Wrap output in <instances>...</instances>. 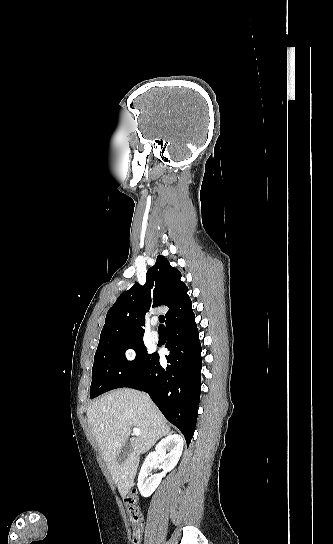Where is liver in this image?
Returning <instances> with one entry per match:
<instances>
[{
  "label": "liver",
  "instance_id": "obj_1",
  "mask_svg": "<svg viewBox=\"0 0 333 544\" xmlns=\"http://www.w3.org/2000/svg\"><path fill=\"white\" fill-rule=\"evenodd\" d=\"M88 422L114 482L122 496L133 486L140 461L160 438L170 433V428L160 410L143 393L121 388L113 390L90 404ZM141 431L132 438L131 455L123 462L116 457L131 434V428Z\"/></svg>",
  "mask_w": 333,
  "mask_h": 544
}]
</instances>
